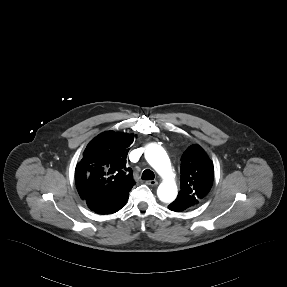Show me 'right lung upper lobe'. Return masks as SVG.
I'll return each mask as SVG.
<instances>
[{
    "mask_svg": "<svg viewBox=\"0 0 287 287\" xmlns=\"http://www.w3.org/2000/svg\"><path fill=\"white\" fill-rule=\"evenodd\" d=\"M133 140L132 134L107 131L88 144L75 169L81 198L117 189L131 190L135 182L131 168L126 167V158Z\"/></svg>",
    "mask_w": 287,
    "mask_h": 287,
    "instance_id": "obj_1",
    "label": "right lung upper lobe"
}]
</instances>
